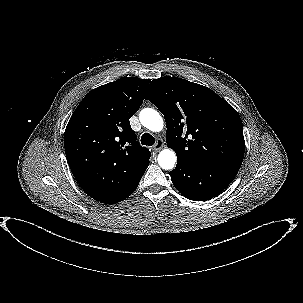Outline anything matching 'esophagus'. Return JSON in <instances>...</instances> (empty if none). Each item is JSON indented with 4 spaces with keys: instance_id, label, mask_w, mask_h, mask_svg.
I'll return each instance as SVG.
<instances>
[{
    "instance_id": "1",
    "label": "esophagus",
    "mask_w": 303,
    "mask_h": 303,
    "mask_svg": "<svg viewBox=\"0 0 303 303\" xmlns=\"http://www.w3.org/2000/svg\"><path fill=\"white\" fill-rule=\"evenodd\" d=\"M162 148H163V141L161 139H158L156 141V144L153 146L152 150H153V152L156 153Z\"/></svg>"
}]
</instances>
